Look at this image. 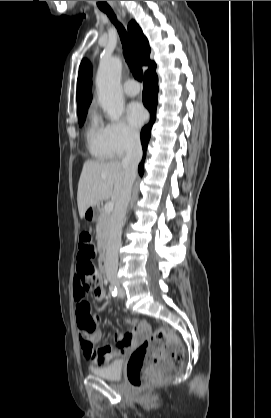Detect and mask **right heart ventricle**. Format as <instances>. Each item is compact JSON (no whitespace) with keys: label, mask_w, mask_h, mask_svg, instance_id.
Wrapping results in <instances>:
<instances>
[{"label":"right heart ventricle","mask_w":271,"mask_h":418,"mask_svg":"<svg viewBox=\"0 0 271 418\" xmlns=\"http://www.w3.org/2000/svg\"><path fill=\"white\" fill-rule=\"evenodd\" d=\"M87 148L90 154L98 160H109L114 154L109 147L105 126L95 114L91 115L85 133Z\"/></svg>","instance_id":"obj_1"}]
</instances>
